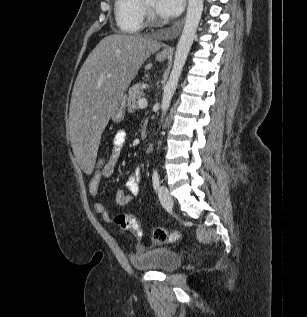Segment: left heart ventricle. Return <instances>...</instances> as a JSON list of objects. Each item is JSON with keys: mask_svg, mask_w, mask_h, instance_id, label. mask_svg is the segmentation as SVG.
I'll return each instance as SVG.
<instances>
[{"mask_svg": "<svg viewBox=\"0 0 307 317\" xmlns=\"http://www.w3.org/2000/svg\"><path fill=\"white\" fill-rule=\"evenodd\" d=\"M146 2L154 9L156 0H146Z\"/></svg>", "mask_w": 307, "mask_h": 317, "instance_id": "obj_1", "label": "left heart ventricle"}]
</instances>
